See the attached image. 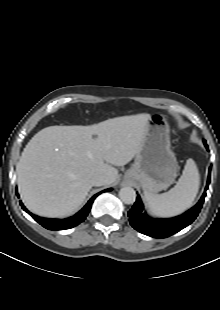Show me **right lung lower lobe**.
Segmentation results:
<instances>
[{
    "label": "right lung lower lobe",
    "instance_id": "98d812e1",
    "mask_svg": "<svg viewBox=\"0 0 220 310\" xmlns=\"http://www.w3.org/2000/svg\"><path fill=\"white\" fill-rule=\"evenodd\" d=\"M112 189H106L103 190L97 194H95L89 201L88 203L78 212L76 213L74 216L69 217L67 219H48V218H42V217H38L36 215H33L32 213H30L25 206L22 204V202H20L21 207L24 209V211H26L28 214H30V216H32V218L37 221L40 225H42L43 227H45L48 230H64V229H69L72 227L77 226L78 224H80L81 222H83L85 220V218L87 217L91 207H92V203L94 201V199L101 194L102 192H107V191H111ZM16 194H17V190H16Z\"/></svg>",
    "mask_w": 220,
    "mask_h": 310
}]
</instances>
